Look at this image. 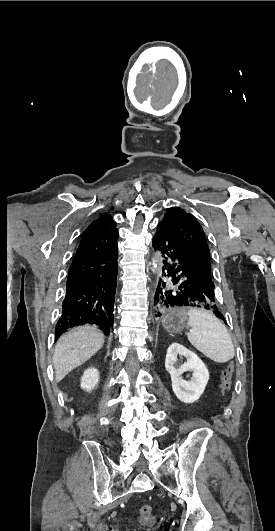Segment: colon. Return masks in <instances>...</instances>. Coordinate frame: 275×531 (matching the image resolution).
Instances as JSON below:
<instances>
[{"instance_id": "5ec220e1", "label": "colon", "mask_w": 275, "mask_h": 531, "mask_svg": "<svg viewBox=\"0 0 275 531\" xmlns=\"http://www.w3.org/2000/svg\"><path fill=\"white\" fill-rule=\"evenodd\" d=\"M233 372V364H229L223 371L222 383L220 385V390L223 395H226L231 388ZM137 513L142 518H148L152 514V508L149 505H142L137 509Z\"/></svg>"}]
</instances>
